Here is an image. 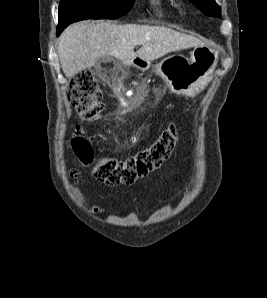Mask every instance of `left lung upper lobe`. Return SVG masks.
Listing matches in <instances>:
<instances>
[{"mask_svg": "<svg viewBox=\"0 0 267 298\" xmlns=\"http://www.w3.org/2000/svg\"><path fill=\"white\" fill-rule=\"evenodd\" d=\"M197 8L206 15L221 16V9L215 0H190Z\"/></svg>", "mask_w": 267, "mask_h": 298, "instance_id": "5c2ea615", "label": "left lung upper lobe"}]
</instances>
